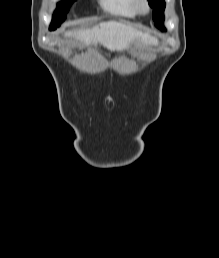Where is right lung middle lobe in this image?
Wrapping results in <instances>:
<instances>
[{
	"label": "right lung middle lobe",
	"mask_w": 219,
	"mask_h": 258,
	"mask_svg": "<svg viewBox=\"0 0 219 258\" xmlns=\"http://www.w3.org/2000/svg\"><path fill=\"white\" fill-rule=\"evenodd\" d=\"M75 0H63L58 3V7L53 15L52 23L50 25V30H55L61 25V23L66 19V13L69 10V5Z\"/></svg>",
	"instance_id": "right-lung-middle-lobe-1"
}]
</instances>
